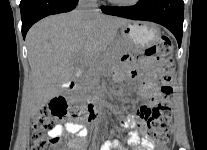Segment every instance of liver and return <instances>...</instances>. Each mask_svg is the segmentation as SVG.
Returning a JSON list of instances; mask_svg holds the SVG:
<instances>
[{"label": "liver", "instance_id": "6515ba94", "mask_svg": "<svg viewBox=\"0 0 207 150\" xmlns=\"http://www.w3.org/2000/svg\"><path fill=\"white\" fill-rule=\"evenodd\" d=\"M130 21L78 10L44 18L27 33L31 67L23 94V109L33 118L51 99L59 96L74 78V65H85L113 45L119 28Z\"/></svg>", "mask_w": 207, "mask_h": 150}]
</instances>
